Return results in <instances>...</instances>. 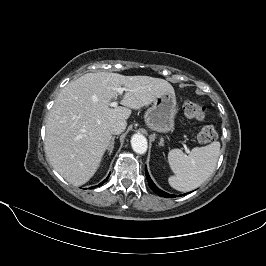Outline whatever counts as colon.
<instances>
[{
  "label": "colon",
  "instance_id": "5ec220e1",
  "mask_svg": "<svg viewBox=\"0 0 266 266\" xmlns=\"http://www.w3.org/2000/svg\"><path fill=\"white\" fill-rule=\"evenodd\" d=\"M184 114L192 120L202 121L206 116V107L202 103L187 101L183 107ZM198 141L202 144H207L217 138V132L211 123H206L202 126L197 135Z\"/></svg>",
  "mask_w": 266,
  "mask_h": 266
}]
</instances>
